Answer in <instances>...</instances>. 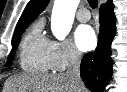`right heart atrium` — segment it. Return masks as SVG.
I'll list each match as a JSON object with an SVG mask.
<instances>
[{"mask_svg":"<svg viewBox=\"0 0 127 92\" xmlns=\"http://www.w3.org/2000/svg\"><path fill=\"white\" fill-rule=\"evenodd\" d=\"M49 57L52 68L55 71H62L79 63L82 54L71 40H51Z\"/></svg>","mask_w":127,"mask_h":92,"instance_id":"d8ad5b80","label":"right heart atrium"}]
</instances>
